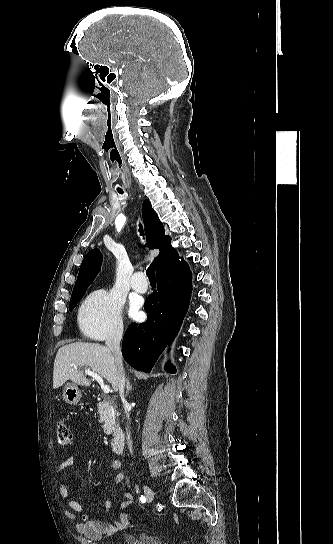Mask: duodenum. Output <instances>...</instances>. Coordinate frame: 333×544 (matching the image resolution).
<instances>
[{
    "mask_svg": "<svg viewBox=\"0 0 333 544\" xmlns=\"http://www.w3.org/2000/svg\"><path fill=\"white\" fill-rule=\"evenodd\" d=\"M125 446V435L124 432L119 429L115 431L111 439V448L112 451L116 454L123 452Z\"/></svg>",
    "mask_w": 333,
    "mask_h": 544,
    "instance_id": "1",
    "label": "duodenum"
}]
</instances>
